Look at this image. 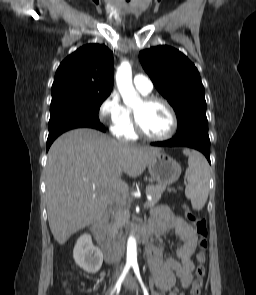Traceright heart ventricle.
<instances>
[{
    "label": "right heart ventricle",
    "mask_w": 256,
    "mask_h": 295,
    "mask_svg": "<svg viewBox=\"0 0 256 295\" xmlns=\"http://www.w3.org/2000/svg\"><path fill=\"white\" fill-rule=\"evenodd\" d=\"M125 109L129 115L128 124L121 133L116 134V135L122 139H125V140H135L137 138V135L133 129L132 120H131V112H130L129 108H125Z\"/></svg>",
    "instance_id": "1"
}]
</instances>
